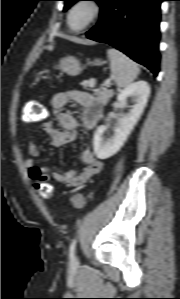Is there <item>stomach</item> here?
<instances>
[{
	"mask_svg": "<svg viewBox=\"0 0 180 299\" xmlns=\"http://www.w3.org/2000/svg\"><path fill=\"white\" fill-rule=\"evenodd\" d=\"M94 63L95 65L102 64V62L99 59H96ZM59 68L68 75H78L82 71L80 61L73 56L62 58L59 62ZM42 74L43 73L40 72L35 75L36 81H39L40 79L44 78Z\"/></svg>",
	"mask_w": 180,
	"mask_h": 299,
	"instance_id": "obj_1",
	"label": "stomach"
}]
</instances>
